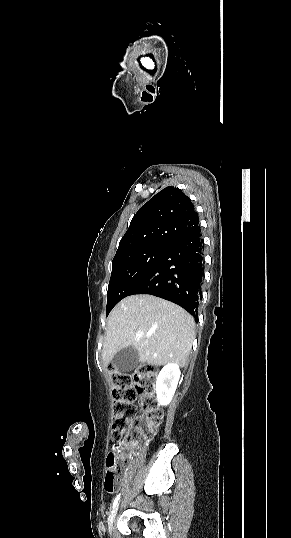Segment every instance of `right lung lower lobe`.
I'll use <instances>...</instances> for the list:
<instances>
[{
    "mask_svg": "<svg viewBox=\"0 0 291 538\" xmlns=\"http://www.w3.org/2000/svg\"><path fill=\"white\" fill-rule=\"evenodd\" d=\"M201 229L174 244L130 295L151 294L197 316L204 277Z\"/></svg>",
    "mask_w": 291,
    "mask_h": 538,
    "instance_id": "98d812e1",
    "label": "right lung lower lobe"
}]
</instances>
